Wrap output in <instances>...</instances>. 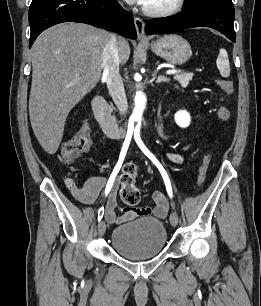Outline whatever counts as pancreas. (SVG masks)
<instances>
[{
	"label": "pancreas",
	"mask_w": 261,
	"mask_h": 306,
	"mask_svg": "<svg viewBox=\"0 0 261 306\" xmlns=\"http://www.w3.org/2000/svg\"><path fill=\"white\" fill-rule=\"evenodd\" d=\"M193 73H183V74H176L174 79L177 80L182 87H187L189 82L192 80Z\"/></svg>",
	"instance_id": "1"
}]
</instances>
